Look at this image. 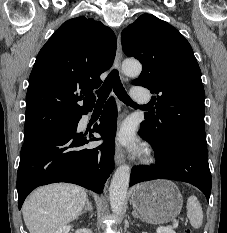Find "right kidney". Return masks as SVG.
Returning <instances> with one entry per match:
<instances>
[{
	"label": "right kidney",
	"instance_id": "1",
	"mask_svg": "<svg viewBox=\"0 0 227 233\" xmlns=\"http://www.w3.org/2000/svg\"><path fill=\"white\" fill-rule=\"evenodd\" d=\"M72 226H63L59 228L55 233H69Z\"/></svg>",
	"mask_w": 227,
	"mask_h": 233
}]
</instances>
